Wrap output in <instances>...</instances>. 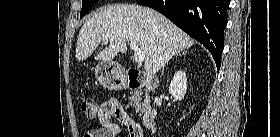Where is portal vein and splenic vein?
Here are the masks:
<instances>
[{
    "instance_id": "portal-vein-and-splenic-vein-1",
    "label": "portal vein and splenic vein",
    "mask_w": 280,
    "mask_h": 137,
    "mask_svg": "<svg viewBox=\"0 0 280 137\" xmlns=\"http://www.w3.org/2000/svg\"><path fill=\"white\" fill-rule=\"evenodd\" d=\"M130 47L134 51V59L137 63H142L144 61V52L139 48L138 44L131 41Z\"/></svg>"
}]
</instances>
